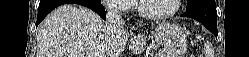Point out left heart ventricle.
<instances>
[{"instance_id": "1", "label": "left heart ventricle", "mask_w": 249, "mask_h": 57, "mask_svg": "<svg viewBox=\"0 0 249 57\" xmlns=\"http://www.w3.org/2000/svg\"><path fill=\"white\" fill-rule=\"evenodd\" d=\"M145 9L152 14L170 12L175 7V0H145Z\"/></svg>"}]
</instances>
